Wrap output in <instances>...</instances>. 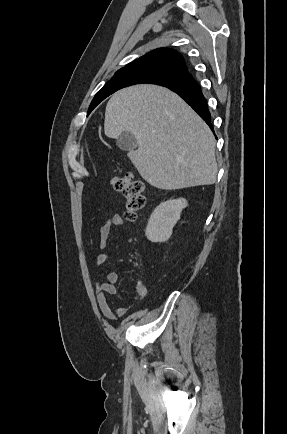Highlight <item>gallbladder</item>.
<instances>
[{
    "mask_svg": "<svg viewBox=\"0 0 287 434\" xmlns=\"http://www.w3.org/2000/svg\"><path fill=\"white\" fill-rule=\"evenodd\" d=\"M117 146L128 152H133L137 147V140L130 132H123L116 140Z\"/></svg>",
    "mask_w": 287,
    "mask_h": 434,
    "instance_id": "1",
    "label": "gallbladder"
}]
</instances>
